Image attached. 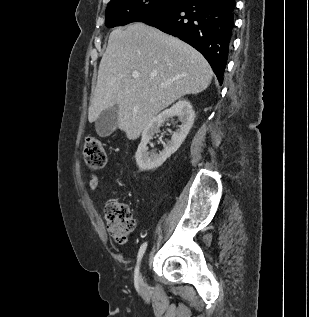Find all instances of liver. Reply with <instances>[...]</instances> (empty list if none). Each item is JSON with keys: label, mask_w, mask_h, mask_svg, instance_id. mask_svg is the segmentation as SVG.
I'll use <instances>...</instances> for the list:
<instances>
[{"label": "liver", "mask_w": 309, "mask_h": 317, "mask_svg": "<svg viewBox=\"0 0 309 317\" xmlns=\"http://www.w3.org/2000/svg\"><path fill=\"white\" fill-rule=\"evenodd\" d=\"M139 77L133 78L132 73ZM213 71L187 43L144 23L114 29L101 59L88 109L90 123L117 105V126L137 139L161 110L209 86Z\"/></svg>", "instance_id": "obj_1"}]
</instances>
